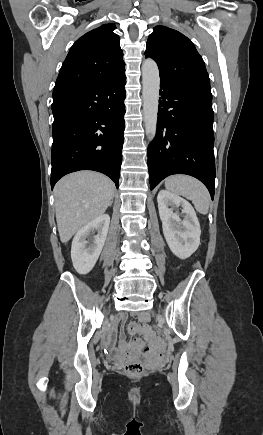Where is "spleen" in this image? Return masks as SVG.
I'll use <instances>...</instances> for the list:
<instances>
[{
	"label": "spleen",
	"instance_id": "spleen-1",
	"mask_svg": "<svg viewBox=\"0 0 263 435\" xmlns=\"http://www.w3.org/2000/svg\"><path fill=\"white\" fill-rule=\"evenodd\" d=\"M165 187L191 200L199 213H208L210 194L204 184L196 178L187 175L170 176L165 180Z\"/></svg>",
	"mask_w": 263,
	"mask_h": 435
}]
</instances>
